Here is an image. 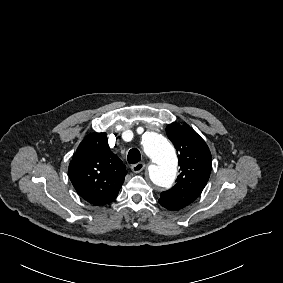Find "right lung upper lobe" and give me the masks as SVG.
I'll return each mask as SVG.
<instances>
[{"label": "right lung upper lobe", "mask_w": 283, "mask_h": 283, "mask_svg": "<svg viewBox=\"0 0 283 283\" xmlns=\"http://www.w3.org/2000/svg\"><path fill=\"white\" fill-rule=\"evenodd\" d=\"M127 174L111 152L106 133H91L79 144L69 164V178L77 193L92 205L112 202Z\"/></svg>", "instance_id": "cb5924a9"}]
</instances>
